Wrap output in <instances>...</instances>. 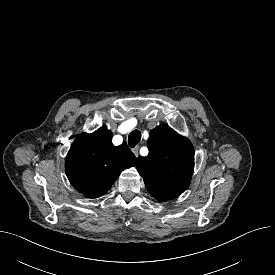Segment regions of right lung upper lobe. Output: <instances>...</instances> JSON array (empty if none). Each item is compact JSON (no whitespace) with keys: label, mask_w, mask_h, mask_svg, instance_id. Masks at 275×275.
Returning a JSON list of instances; mask_svg holds the SVG:
<instances>
[{"label":"right lung upper lobe","mask_w":275,"mask_h":275,"mask_svg":"<svg viewBox=\"0 0 275 275\" xmlns=\"http://www.w3.org/2000/svg\"><path fill=\"white\" fill-rule=\"evenodd\" d=\"M137 159L126 142L112 144V132L101 127L92 134H80L66 157V175L70 183L88 198L105 194L127 168Z\"/></svg>","instance_id":"right-lung-upper-lobe-1"}]
</instances>
